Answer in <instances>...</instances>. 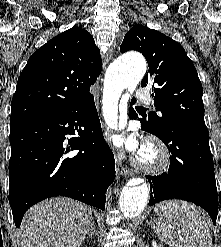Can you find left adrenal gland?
I'll return each instance as SVG.
<instances>
[{
  "label": "left adrenal gland",
  "instance_id": "a2214340",
  "mask_svg": "<svg viewBox=\"0 0 221 247\" xmlns=\"http://www.w3.org/2000/svg\"><path fill=\"white\" fill-rule=\"evenodd\" d=\"M149 224H150L151 226H153V225H154L152 220L149 222Z\"/></svg>",
  "mask_w": 221,
  "mask_h": 247
}]
</instances>
